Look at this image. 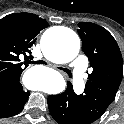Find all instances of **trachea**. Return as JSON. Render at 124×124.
<instances>
[{
  "label": "trachea",
  "instance_id": "trachea-1",
  "mask_svg": "<svg viewBox=\"0 0 124 124\" xmlns=\"http://www.w3.org/2000/svg\"><path fill=\"white\" fill-rule=\"evenodd\" d=\"M63 71H65V72L69 75L70 78L72 77V73H71L70 70H68V69H63Z\"/></svg>",
  "mask_w": 124,
  "mask_h": 124
}]
</instances>
